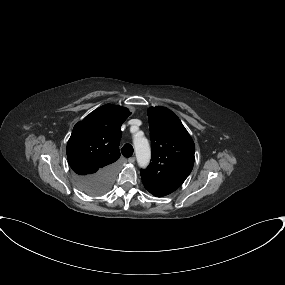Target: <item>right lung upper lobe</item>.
<instances>
[{
    "instance_id": "obj_1",
    "label": "right lung upper lobe",
    "mask_w": 285,
    "mask_h": 285,
    "mask_svg": "<svg viewBox=\"0 0 285 285\" xmlns=\"http://www.w3.org/2000/svg\"><path fill=\"white\" fill-rule=\"evenodd\" d=\"M129 115L127 108L106 104L74 126L67 158L77 175L95 174L119 159L121 125Z\"/></svg>"
}]
</instances>
